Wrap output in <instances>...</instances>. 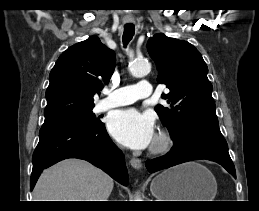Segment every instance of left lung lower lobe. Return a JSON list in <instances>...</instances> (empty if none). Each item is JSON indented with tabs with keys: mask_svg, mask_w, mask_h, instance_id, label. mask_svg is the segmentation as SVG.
<instances>
[{
	"mask_svg": "<svg viewBox=\"0 0 259 211\" xmlns=\"http://www.w3.org/2000/svg\"><path fill=\"white\" fill-rule=\"evenodd\" d=\"M200 159L219 163L236 178L235 167L223 135L204 130L193 131L183 139L174 142V147L169 153L148 160L146 167L150 173H153L184 162Z\"/></svg>",
	"mask_w": 259,
	"mask_h": 211,
	"instance_id": "obj_1",
	"label": "left lung lower lobe"
}]
</instances>
